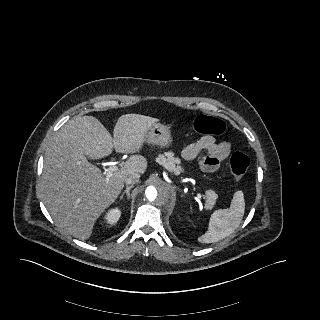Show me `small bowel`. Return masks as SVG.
Returning a JSON list of instances; mask_svg holds the SVG:
<instances>
[{
  "label": "small bowel",
  "mask_w": 320,
  "mask_h": 320,
  "mask_svg": "<svg viewBox=\"0 0 320 320\" xmlns=\"http://www.w3.org/2000/svg\"><path fill=\"white\" fill-rule=\"evenodd\" d=\"M203 152L206 155L201 158V169L206 173H214L229 157L231 146L228 142H219L213 135H206L187 145L181 155L183 159L189 161L197 158Z\"/></svg>",
  "instance_id": "1"
}]
</instances>
